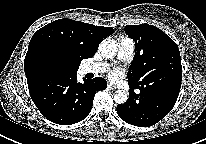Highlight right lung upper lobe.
<instances>
[{
  "label": "right lung upper lobe",
  "mask_w": 206,
  "mask_h": 144,
  "mask_svg": "<svg viewBox=\"0 0 206 144\" xmlns=\"http://www.w3.org/2000/svg\"><path fill=\"white\" fill-rule=\"evenodd\" d=\"M110 27L59 19L39 29L31 38L24 61L27 82L42 76L34 69L35 59L42 54L63 58L69 67L79 66L81 60L92 57L103 38L112 34ZM73 75L67 73L64 76Z\"/></svg>",
  "instance_id": "right-lung-upper-lobe-1"
}]
</instances>
